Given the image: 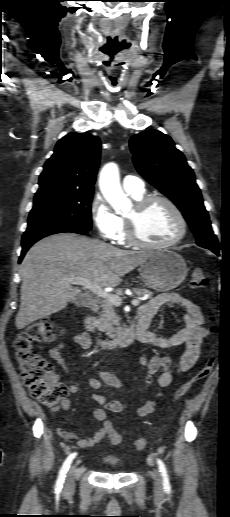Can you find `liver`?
<instances>
[{
	"label": "liver",
	"instance_id": "obj_1",
	"mask_svg": "<svg viewBox=\"0 0 230 517\" xmlns=\"http://www.w3.org/2000/svg\"><path fill=\"white\" fill-rule=\"evenodd\" d=\"M150 252L116 248L75 234H57L37 242L25 255L20 274L21 304L16 328L64 309L81 289L66 279L82 277L101 287H116L122 277L141 265Z\"/></svg>",
	"mask_w": 230,
	"mask_h": 517
}]
</instances>
